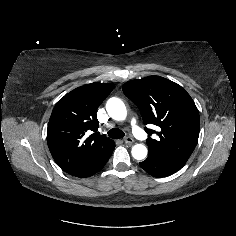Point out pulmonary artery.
Here are the masks:
<instances>
[{
	"mask_svg": "<svg viewBox=\"0 0 236 236\" xmlns=\"http://www.w3.org/2000/svg\"><path fill=\"white\" fill-rule=\"evenodd\" d=\"M132 125H133V130L136 134V136L140 139V140H146L148 138L147 134L138 126L136 120L133 118L132 119Z\"/></svg>",
	"mask_w": 236,
	"mask_h": 236,
	"instance_id": "obj_1",
	"label": "pulmonary artery"
}]
</instances>
